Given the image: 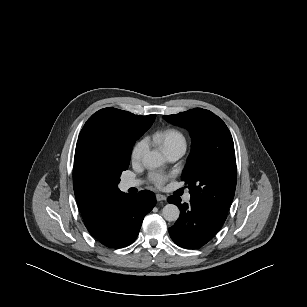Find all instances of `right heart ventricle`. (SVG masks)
Masks as SVG:
<instances>
[{
	"label": "right heart ventricle",
	"mask_w": 307,
	"mask_h": 307,
	"mask_svg": "<svg viewBox=\"0 0 307 307\" xmlns=\"http://www.w3.org/2000/svg\"><path fill=\"white\" fill-rule=\"evenodd\" d=\"M153 138L163 147L166 153L174 148L186 147L185 136L176 129L158 131Z\"/></svg>",
	"instance_id": "obj_1"
}]
</instances>
